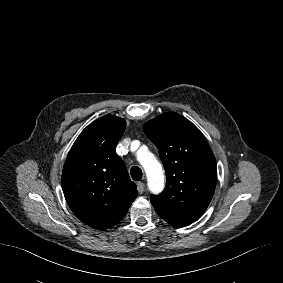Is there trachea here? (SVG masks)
I'll list each match as a JSON object with an SVG mask.
<instances>
[{"instance_id":"trachea-1","label":"trachea","mask_w":283,"mask_h":283,"mask_svg":"<svg viewBox=\"0 0 283 283\" xmlns=\"http://www.w3.org/2000/svg\"><path fill=\"white\" fill-rule=\"evenodd\" d=\"M130 174H131V177L133 180L135 181H140L142 179V170L137 167V166H133L131 169H130Z\"/></svg>"}]
</instances>
